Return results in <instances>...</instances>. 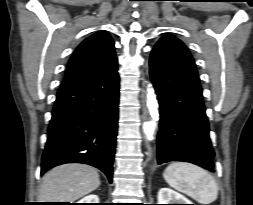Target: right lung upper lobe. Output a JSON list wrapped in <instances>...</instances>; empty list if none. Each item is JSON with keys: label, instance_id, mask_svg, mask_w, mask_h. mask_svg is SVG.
<instances>
[{"label": "right lung upper lobe", "instance_id": "cb5924a9", "mask_svg": "<svg viewBox=\"0 0 253 205\" xmlns=\"http://www.w3.org/2000/svg\"><path fill=\"white\" fill-rule=\"evenodd\" d=\"M117 60L114 42L105 31L85 39L72 54L64 81L99 72Z\"/></svg>", "mask_w": 253, "mask_h": 205}]
</instances>
